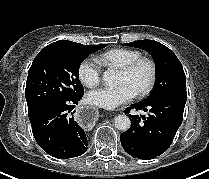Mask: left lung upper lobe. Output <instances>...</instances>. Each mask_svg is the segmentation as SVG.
Here are the masks:
<instances>
[{"mask_svg":"<svg viewBox=\"0 0 209 179\" xmlns=\"http://www.w3.org/2000/svg\"><path fill=\"white\" fill-rule=\"evenodd\" d=\"M124 45L149 52L156 62L155 87L150 96L143 101H153L169 94L186 92L183 67L169 48L153 40H138Z\"/></svg>","mask_w":209,"mask_h":179,"instance_id":"5c2ea615","label":"left lung upper lobe"}]
</instances>
